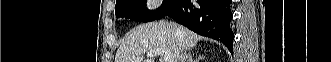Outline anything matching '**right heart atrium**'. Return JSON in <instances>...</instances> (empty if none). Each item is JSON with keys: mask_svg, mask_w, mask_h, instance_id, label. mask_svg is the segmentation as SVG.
<instances>
[{"mask_svg": "<svg viewBox=\"0 0 331 62\" xmlns=\"http://www.w3.org/2000/svg\"><path fill=\"white\" fill-rule=\"evenodd\" d=\"M159 8H160V6L157 2L152 3V5H151L152 10L157 11V10H159Z\"/></svg>", "mask_w": 331, "mask_h": 62, "instance_id": "obj_1", "label": "right heart atrium"}]
</instances>
